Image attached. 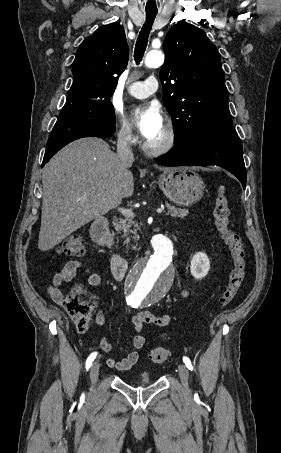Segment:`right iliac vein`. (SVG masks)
Returning <instances> with one entry per match:
<instances>
[{
	"label": "right iliac vein",
	"instance_id": "obj_1",
	"mask_svg": "<svg viewBox=\"0 0 281 453\" xmlns=\"http://www.w3.org/2000/svg\"><path fill=\"white\" fill-rule=\"evenodd\" d=\"M96 363V362H95ZM90 379L92 381H95L97 379V376L99 375V367L97 365H94L92 369L90 370Z\"/></svg>",
	"mask_w": 281,
	"mask_h": 453
}]
</instances>
